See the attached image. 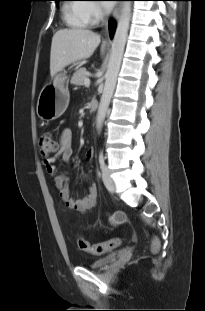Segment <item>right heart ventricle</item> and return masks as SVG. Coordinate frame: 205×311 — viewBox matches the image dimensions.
I'll use <instances>...</instances> for the list:
<instances>
[{
  "mask_svg": "<svg viewBox=\"0 0 205 311\" xmlns=\"http://www.w3.org/2000/svg\"><path fill=\"white\" fill-rule=\"evenodd\" d=\"M79 2L80 0H70ZM86 4L71 3L63 7V17L66 24L72 28H84L90 24V19L86 12Z\"/></svg>",
  "mask_w": 205,
  "mask_h": 311,
  "instance_id": "1",
  "label": "right heart ventricle"
}]
</instances>
